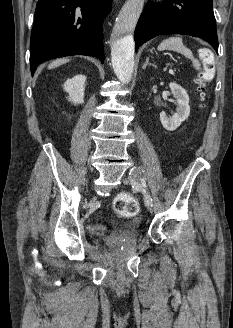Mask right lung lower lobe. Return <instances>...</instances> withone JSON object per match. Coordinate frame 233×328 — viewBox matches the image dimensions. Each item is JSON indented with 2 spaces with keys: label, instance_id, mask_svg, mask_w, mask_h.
I'll use <instances>...</instances> for the list:
<instances>
[{
  "label": "right lung lower lobe",
  "instance_id": "1",
  "mask_svg": "<svg viewBox=\"0 0 233 328\" xmlns=\"http://www.w3.org/2000/svg\"><path fill=\"white\" fill-rule=\"evenodd\" d=\"M112 0H39L30 42L32 76L42 62L69 55L104 61L102 21Z\"/></svg>",
  "mask_w": 233,
  "mask_h": 328
}]
</instances>
